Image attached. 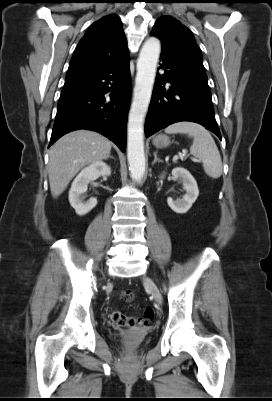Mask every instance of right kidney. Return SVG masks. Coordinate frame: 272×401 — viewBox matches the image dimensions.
Segmentation results:
<instances>
[{
    "label": "right kidney",
    "instance_id": "1",
    "mask_svg": "<svg viewBox=\"0 0 272 401\" xmlns=\"http://www.w3.org/2000/svg\"><path fill=\"white\" fill-rule=\"evenodd\" d=\"M110 175L111 168L102 161L89 165L77 175L69 191V202L78 215L87 214L97 205L96 198H90L87 202H83V194L87 191L88 184L100 176Z\"/></svg>",
    "mask_w": 272,
    "mask_h": 401
}]
</instances>
